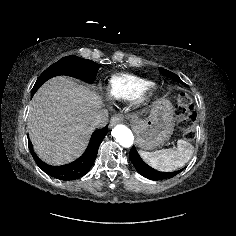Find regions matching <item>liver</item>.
Returning a JSON list of instances; mask_svg holds the SVG:
<instances>
[{
  "instance_id": "obj_1",
  "label": "liver",
  "mask_w": 236,
  "mask_h": 236,
  "mask_svg": "<svg viewBox=\"0 0 236 236\" xmlns=\"http://www.w3.org/2000/svg\"><path fill=\"white\" fill-rule=\"evenodd\" d=\"M102 101L92 88L66 76L47 81L34 95L27 120L37 155L51 165L78 158L93 132Z\"/></svg>"
}]
</instances>
